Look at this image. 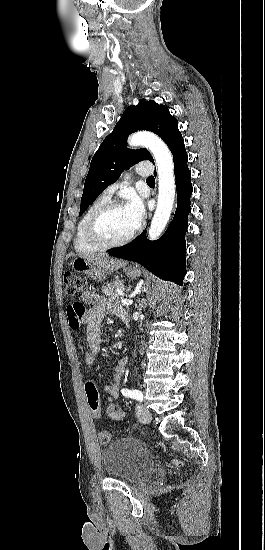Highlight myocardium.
<instances>
[{
    "label": "myocardium",
    "instance_id": "myocardium-1",
    "mask_svg": "<svg viewBox=\"0 0 265 550\" xmlns=\"http://www.w3.org/2000/svg\"><path fill=\"white\" fill-rule=\"evenodd\" d=\"M125 207L123 203L110 200L95 209L88 217L85 224V236L87 240L98 248L109 249L120 247L129 243L137 234L138 228L134 229L129 235L120 240H107L99 230L101 219L113 210Z\"/></svg>",
    "mask_w": 265,
    "mask_h": 550
}]
</instances>
